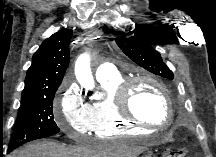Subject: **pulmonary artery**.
Masks as SVG:
<instances>
[{
    "instance_id": "e3ab8cb5",
    "label": "pulmonary artery",
    "mask_w": 216,
    "mask_h": 157,
    "mask_svg": "<svg viewBox=\"0 0 216 157\" xmlns=\"http://www.w3.org/2000/svg\"><path fill=\"white\" fill-rule=\"evenodd\" d=\"M117 74L115 65L111 63H102L96 69L97 80L109 78Z\"/></svg>"
}]
</instances>
